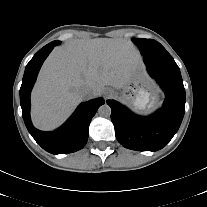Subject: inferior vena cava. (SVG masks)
I'll return each mask as SVG.
<instances>
[{
  "label": "inferior vena cava",
  "mask_w": 207,
  "mask_h": 207,
  "mask_svg": "<svg viewBox=\"0 0 207 207\" xmlns=\"http://www.w3.org/2000/svg\"><path fill=\"white\" fill-rule=\"evenodd\" d=\"M91 89L88 87H82L79 89V94L82 98L87 99L91 97Z\"/></svg>",
  "instance_id": "obj_1"
}]
</instances>
